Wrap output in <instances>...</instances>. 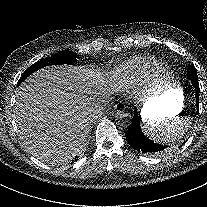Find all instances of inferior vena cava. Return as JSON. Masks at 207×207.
<instances>
[{
    "label": "inferior vena cava",
    "instance_id": "obj_1",
    "mask_svg": "<svg viewBox=\"0 0 207 207\" xmlns=\"http://www.w3.org/2000/svg\"><path fill=\"white\" fill-rule=\"evenodd\" d=\"M96 115V116H95ZM101 117V115H97V111L94 113V115H93V119H97V118H100Z\"/></svg>",
    "mask_w": 207,
    "mask_h": 207
}]
</instances>
